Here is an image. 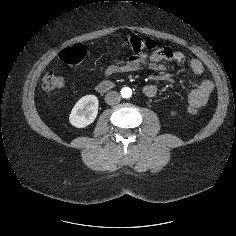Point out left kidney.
<instances>
[{
  "label": "left kidney",
  "mask_w": 236,
  "mask_h": 236,
  "mask_svg": "<svg viewBox=\"0 0 236 236\" xmlns=\"http://www.w3.org/2000/svg\"><path fill=\"white\" fill-rule=\"evenodd\" d=\"M172 116H175L176 115V112L175 111H171L170 113Z\"/></svg>",
  "instance_id": "5707ae66"
}]
</instances>
